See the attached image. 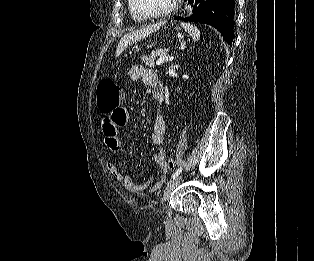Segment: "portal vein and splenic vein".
Returning a JSON list of instances; mask_svg holds the SVG:
<instances>
[{
    "instance_id": "18ae733b",
    "label": "portal vein and splenic vein",
    "mask_w": 314,
    "mask_h": 261,
    "mask_svg": "<svg viewBox=\"0 0 314 261\" xmlns=\"http://www.w3.org/2000/svg\"><path fill=\"white\" fill-rule=\"evenodd\" d=\"M166 60H167V56H166V55H165V56H161V57H159V59L156 61V64H157V65H161V64H163Z\"/></svg>"
}]
</instances>
